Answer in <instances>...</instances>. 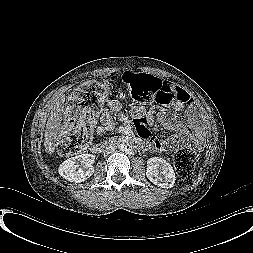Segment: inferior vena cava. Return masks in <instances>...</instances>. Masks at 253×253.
I'll return each instance as SVG.
<instances>
[{
	"instance_id": "1",
	"label": "inferior vena cava",
	"mask_w": 253,
	"mask_h": 253,
	"mask_svg": "<svg viewBox=\"0 0 253 253\" xmlns=\"http://www.w3.org/2000/svg\"><path fill=\"white\" fill-rule=\"evenodd\" d=\"M108 151H109L110 153H114V152L116 151V148H115L114 146H110V147L108 148Z\"/></svg>"
}]
</instances>
